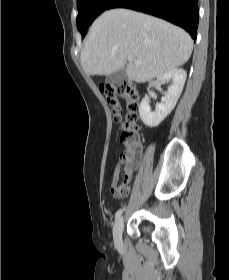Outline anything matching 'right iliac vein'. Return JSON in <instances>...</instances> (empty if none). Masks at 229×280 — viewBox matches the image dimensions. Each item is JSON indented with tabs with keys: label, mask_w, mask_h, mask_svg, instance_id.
<instances>
[{
	"label": "right iliac vein",
	"mask_w": 229,
	"mask_h": 280,
	"mask_svg": "<svg viewBox=\"0 0 229 280\" xmlns=\"http://www.w3.org/2000/svg\"><path fill=\"white\" fill-rule=\"evenodd\" d=\"M123 225H124V221L123 218L121 217L116 221L115 226L113 228V237L116 245H120L122 242Z\"/></svg>",
	"instance_id": "right-iliac-vein-1"
}]
</instances>
